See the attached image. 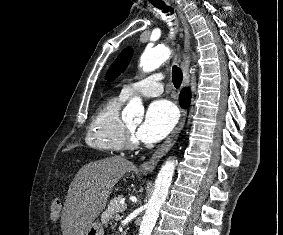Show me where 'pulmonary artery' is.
<instances>
[{
	"mask_svg": "<svg viewBox=\"0 0 283 235\" xmlns=\"http://www.w3.org/2000/svg\"><path fill=\"white\" fill-rule=\"evenodd\" d=\"M161 74H152L144 79L128 84L123 87L121 95L128 99L135 95L146 97L159 96L163 92V85L161 83Z\"/></svg>",
	"mask_w": 283,
	"mask_h": 235,
	"instance_id": "obj_1",
	"label": "pulmonary artery"
}]
</instances>
